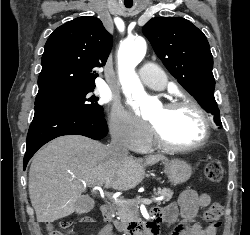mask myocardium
<instances>
[{"label":"myocardium","mask_w":250,"mask_h":235,"mask_svg":"<svg viewBox=\"0 0 250 235\" xmlns=\"http://www.w3.org/2000/svg\"><path fill=\"white\" fill-rule=\"evenodd\" d=\"M184 106L193 108L199 114L202 121V134L200 138L192 144L175 145L168 142L164 138L163 134L161 133L160 129L157 126L151 124L150 125L151 136L153 137L155 144L161 149L169 152H189L200 148L208 140L210 135V120L206 110L201 106L199 102H197L192 98L180 97L165 103L164 108L166 110H173Z\"/></svg>","instance_id":"obj_1"}]
</instances>
